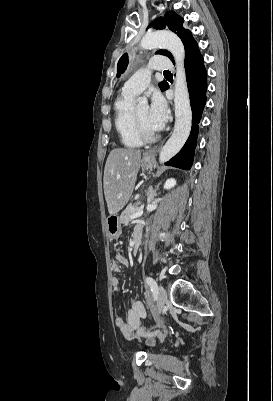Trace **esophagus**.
Listing matches in <instances>:
<instances>
[{
  "label": "esophagus",
  "mask_w": 273,
  "mask_h": 401,
  "mask_svg": "<svg viewBox=\"0 0 273 401\" xmlns=\"http://www.w3.org/2000/svg\"><path fill=\"white\" fill-rule=\"evenodd\" d=\"M162 144H163V142H162ZM158 148H159L158 146H156V147H154V148H151V150H149V151L145 154V158H146V159H154V158H155V154H156Z\"/></svg>",
  "instance_id": "esophagus-1"
}]
</instances>
